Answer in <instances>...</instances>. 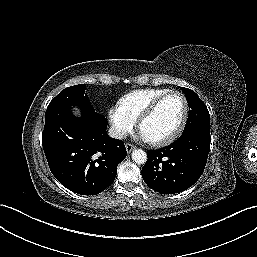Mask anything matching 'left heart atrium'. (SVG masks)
Listing matches in <instances>:
<instances>
[{"label":"left heart atrium","instance_id":"1","mask_svg":"<svg viewBox=\"0 0 257 257\" xmlns=\"http://www.w3.org/2000/svg\"><path fill=\"white\" fill-rule=\"evenodd\" d=\"M140 138L144 141H148V139L140 132Z\"/></svg>","mask_w":257,"mask_h":257}]
</instances>
